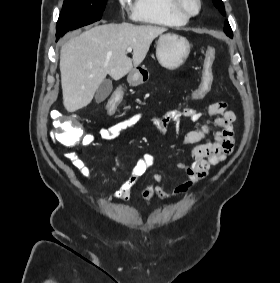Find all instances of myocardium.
I'll list each match as a JSON object with an SVG mask.
<instances>
[{
	"mask_svg": "<svg viewBox=\"0 0 280 283\" xmlns=\"http://www.w3.org/2000/svg\"><path fill=\"white\" fill-rule=\"evenodd\" d=\"M172 2H173L174 8L188 18L198 15L202 8L201 0H195L196 8L194 10L190 9L187 6L186 0H172Z\"/></svg>",
	"mask_w": 280,
	"mask_h": 283,
	"instance_id": "f54148a6",
	"label": "myocardium"
}]
</instances>
